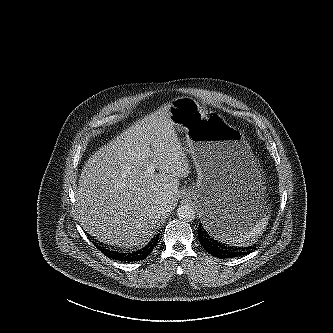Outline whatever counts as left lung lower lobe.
I'll return each instance as SVG.
<instances>
[{"label":"left lung lower lobe","instance_id":"obj_1","mask_svg":"<svg viewBox=\"0 0 333 333\" xmlns=\"http://www.w3.org/2000/svg\"><path fill=\"white\" fill-rule=\"evenodd\" d=\"M198 238L204 249L211 255L220 258H234L248 253L247 248H229L212 237L202 225L198 227Z\"/></svg>","mask_w":333,"mask_h":333}]
</instances>
